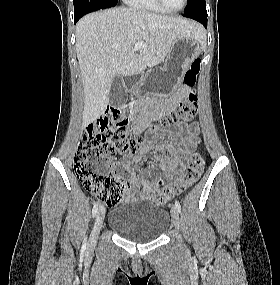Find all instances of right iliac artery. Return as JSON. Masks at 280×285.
<instances>
[{"label": "right iliac artery", "instance_id": "right-iliac-artery-1", "mask_svg": "<svg viewBox=\"0 0 280 285\" xmlns=\"http://www.w3.org/2000/svg\"><path fill=\"white\" fill-rule=\"evenodd\" d=\"M98 209H99V202H96V203L94 204L93 209H92L93 217L96 215Z\"/></svg>", "mask_w": 280, "mask_h": 285}]
</instances>
